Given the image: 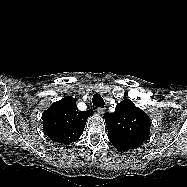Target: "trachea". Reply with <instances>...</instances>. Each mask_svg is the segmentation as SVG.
<instances>
[{
    "mask_svg": "<svg viewBox=\"0 0 187 187\" xmlns=\"http://www.w3.org/2000/svg\"><path fill=\"white\" fill-rule=\"evenodd\" d=\"M92 103L95 107H103L104 100L100 94H95L92 99Z\"/></svg>",
    "mask_w": 187,
    "mask_h": 187,
    "instance_id": "trachea-1",
    "label": "trachea"
}]
</instances>
